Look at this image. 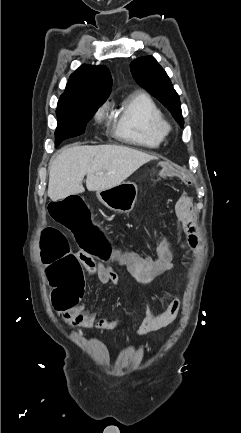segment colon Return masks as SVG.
<instances>
[{"mask_svg": "<svg viewBox=\"0 0 241 433\" xmlns=\"http://www.w3.org/2000/svg\"><path fill=\"white\" fill-rule=\"evenodd\" d=\"M148 167L157 166L159 176L164 180L171 178L169 183L174 185L178 177L183 181H189L192 175L186 168H170L169 161H160L159 158H150ZM79 192L73 193L72 198H62L61 202L49 201L46 206L51 221H60L64 229H72L70 236L78 243L79 247H90V249H106L107 240L103 238L105 233L101 231L102 221L92 220L94 208L80 201ZM88 211V212H87ZM158 213V210H154ZM168 236H173V231H168ZM100 237V238H99ZM110 249V246H107ZM173 246L160 244V251H170ZM39 254L43 263L40 265L41 272H47L49 285L52 288L51 297L56 312H73L75 305H80L83 299V273L75 255L69 250L65 236L55 228H47L42 232ZM88 254V251H85ZM105 258V255H102ZM111 258V255H107ZM136 265L142 270H147L142 262L136 261Z\"/></svg>", "mask_w": 241, "mask_h": 433, "instance_id": "1", "label": "colon"}]
</instances>
